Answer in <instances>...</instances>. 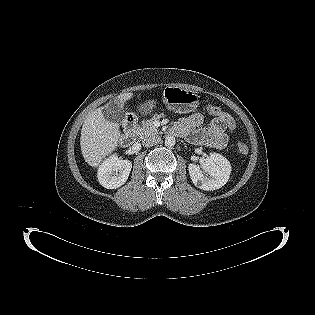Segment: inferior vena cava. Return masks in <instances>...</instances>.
Returning <instances> with one entry per match:
<instances>
[{"label":"inferior vena cava","instance_id":"obj_1","mask_svg":"<svg viewBox=\"0 0 315 315\" xmlns=\"http://www.w3.org/2000/svg\"><path fill=\"white\" fill-rule=\"evenodd\" d=\"M160 141H161L160 136H158L157 134H150L146 136L145 138H143L142 143L144 146L149 147V146L156 145Z\"/></svg>","mask_w":315,"mask_h":315}]
</instances>
